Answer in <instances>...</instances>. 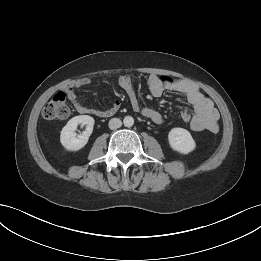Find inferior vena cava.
Masks as SVG:
<instances>
[{"instance_id":"1","label":"inferior vena cava","mask_w":261,"mask_h":261,"mask_svg":"<svg viewBox=\"0 0 261 261\" xmlns=\"http://www.w3.org/2000/svg\"><path fill=\"white\" fill-rule=\"evenodd\" d=\"M122 126V122L120 119L118 118H112L110 121H109V128L111 130H115V129H118Z\"/></svg>"}]
</instances>
